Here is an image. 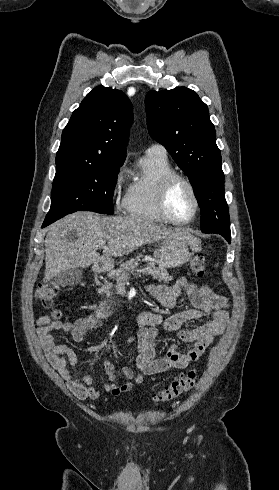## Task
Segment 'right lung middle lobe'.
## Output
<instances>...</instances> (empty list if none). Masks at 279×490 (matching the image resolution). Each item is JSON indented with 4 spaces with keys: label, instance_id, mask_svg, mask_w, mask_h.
Masks as SVG:
<instances>
[{
    "label": "right lung middle lobe",
    "instance_id": "dd1d6c3e",
    "mask_svg": "<svg viewBox=\"0 0 279 490\" xmlns=\"http://www.w3.org/2000/svg\"><path fill=\"white\" fill-rule=\"evenodd\" d=\"M121 163L56 166L51 208L44 223L76 211L113 214V193Z\"/></svg>",
    "mask_w": 279,
    "mask_h": 490
}]
</instances>
